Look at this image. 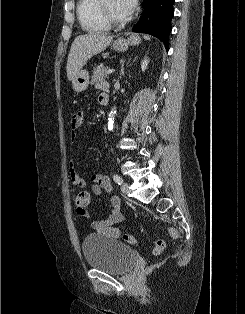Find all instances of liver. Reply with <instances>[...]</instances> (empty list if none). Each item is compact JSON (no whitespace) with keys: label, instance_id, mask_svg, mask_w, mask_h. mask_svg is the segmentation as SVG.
I'll return each instance as SVG.
<instances>
[{"label":"liver","instance_id":"obj_1","mask_svg":"<svg viewBox=\"0 0 245 314\" xmlns=\"http://www.w3.org/2000/svg\"><path fill=\"white\" fill-rule=\"evenodd\" d=\"M113 36L101 33L79 35L73 41L68 55L66 72L69 81L82 69L85 63L94 55L104 51L111 43Z\"/></svg>","mask_w":245,"mask_h":314}]
</instances>
